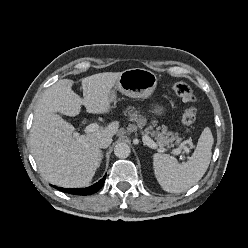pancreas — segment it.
<instances>
[{
	"mask_svg": "<svg viewBox=\"0 0 248 248\" xmlns=\"http://www.w3.org/2000/svg\"><path fill=\"white\" fill-rule=\"evenodd\" d=\"M123 113L125 116H129L133 120H138V117L140 116L139 112L131 106L128 107ZM152 125L153 126H149L146 129V132L147 134H150L151 136L155 137V140L157 141V144L160 147L172 145L173 143L179 144L181 142V138L178 136V133L167 132V127L165 126H163L162 128L157 127L156 131H154L153 127L156 126V122L153 121Z\"/></svg>",
	"mask_w": 248,
	"mask_h": 248,
	"instance_id": "cf45deb5",
	"label": "pancreas"
}]
</instances>
